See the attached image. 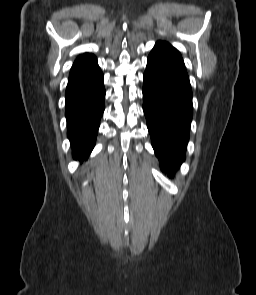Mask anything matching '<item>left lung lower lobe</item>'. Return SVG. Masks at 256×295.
Instances as JSON below:
<instances>
[{
  "mask_svg": "<svg viewBox=\"0 0 256 295\" xmlns=\"http://www.w3.org/2000/svg\"><path fill=\"white\" fill-rule=\"evenodd\" d=\"M143 111L161 169L172 175L185 159L193 115L188 76L147 63Z\"/></svg>",
  "mask_w": 256,
  "mask_h": 295,
  "instance_id": "0a47b994",
  "label": "left lung lower lobe"
}]
</instances>
